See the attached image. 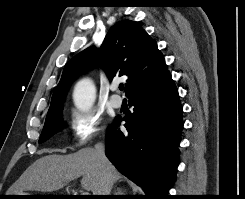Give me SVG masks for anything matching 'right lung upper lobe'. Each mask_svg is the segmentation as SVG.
<instances>
[{
    "label": "right lung upper lobe",
    "mask_w": 245,
    "mask_h": 199,
    "mask_svg": "<svg viewBox=\"0 0 245 199\" xmlns=\"http://www.w3.org/2000/svg\"><path fill=\"white\" fill-rule=\"evenodd\" d=\"M98 62L109 80L125 77L128 98L153 91L171 80L156 42L135 21L122 20L105 37L100 50L89 47L73 57L64 67L54 90L47 116L63 108L65 95L75 78Z\"/></svg>",
    "instance_id": "obj_1"
}]
</instances>
